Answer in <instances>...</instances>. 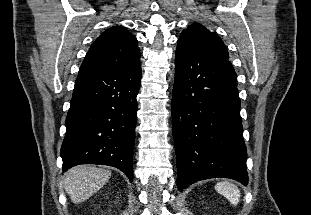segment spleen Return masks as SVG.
<instances>
[{"mask_svg": "<svg viewBox=\"0 0 311 215\" xmlns=\"http://www.w3.org/2000/svg\"><path fill=\"white\" fill-rule=\"evenodd\" d=\"M215 189L218 193L226 197L234 206L239 203L240 190L234 184L227 181L219 182L215 185Z\"/></svg>", "mask_w": 311, "mask_h": 215, "instance_id": "obj_1", "label": "spleen"}]
</instances>
